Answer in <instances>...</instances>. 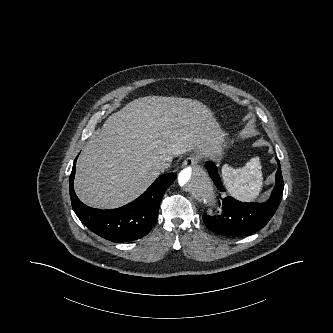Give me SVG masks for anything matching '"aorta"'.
<instances>
[{
  "label": "aorta",
  "instance_id": "1",
  "mask_svg": "<svg viewBox=\"0 0 333 333\" xmlns=\"http://www.w3.org/2000/svg\"><path fill=\"white\" fill-rule=\"evenodd\" d=\"M181 190L214 215L219 209L216 189L205 170L199 166L184 168L178 175Z\"/></svg>",
  "mask_w": 333,
  "mask_h": 333
}]
</instances>
